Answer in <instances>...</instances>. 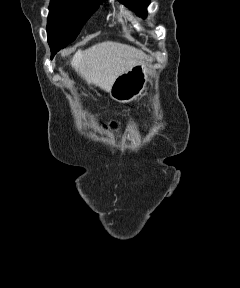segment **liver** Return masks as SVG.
Masks as SVG:
<instances>
[{"label": "liver", "instance_id": "liver-1", "mask_svg": "<svg viewBox=\"0 0 240 288\" xmlns=\"http://www.w3.org/2000/svg\"><path fill=\"white\" fill-rule=\"evenodd\" d=\"M144 58L146 55L134 47L105 41L77 51L70 63L87 84L110 92L114 81Z\"/></svg>", "mask_w": 240, "mask_h": 288}]
</instances>
